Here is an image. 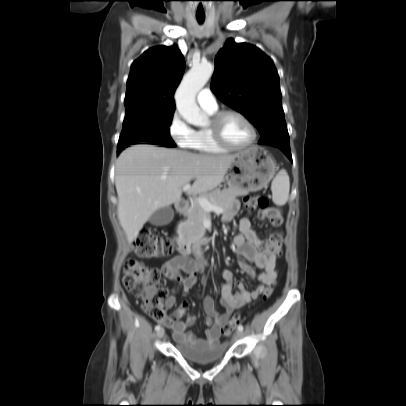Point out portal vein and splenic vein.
Listing matches in <instances>:
<instances>
[{
  "label": "portal vein and splenic vein",
  "mask_w": 406,
  "mask_h": 406,
  "mask_svg": "<svg viewBox=\"0 0 406 406\" xmlns=\"http://www.w3.org/2000/svg\"><path fill=\"white\" fill-rule=\"evenodd\" d=\"M190 188H191V185L189 183L185 184L183 186V191H187ZM198 203L206 211H214V212L219 213V214L223 213L222 208H220L219 206L209 202V200H207L206 198H199Z\"/></svg>",
  "instance_id": "18ae733b"
}]
</instances>
